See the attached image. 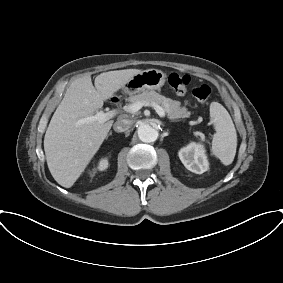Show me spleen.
<instances>
[{"label": "spleen", "instance_id": "1", "mask_svg": "<svg viewBox=\"0 0 283 283\" xmlns=\"http://www.w3.org/2000/svg\"><path fill=\"white\" fill-rule=\"evenodd\" d=\"M210 118L216 131L212 140V154L228 166L236 154V129L228 111L218 102L210 104Z\"/></svg>", "mask_w": 283, "mask_h": 283}]
</instances>
